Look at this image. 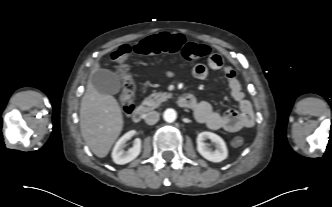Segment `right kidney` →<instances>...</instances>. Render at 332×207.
Listing matches in <instances>:
<instances>
[{
	"instance_id": "right-kidney-1",
	"label": "right kidney",
	"mask_w": 332,
	"mask_h": 207,
	"mask_svg": "<svg viewBox=\"0 0 332 207\" xmlns=\"http://www.w3.org/2000/svg\"><path fill=\"white\" fill-rule=\"evenodd\" d=\"M136 132L134 130L127 132L124 134L115 144L112 151V158L116 164H126L137 158V156L141 152V140L136 139L133 146L127 151L124 150L125 143L129 139H131Z\"/></svg>"
}]
</instances>
